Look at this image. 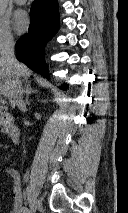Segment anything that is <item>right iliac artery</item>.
Instances as JSON below:
<instances>
[{
	"mask_svg": "<svg viewBox=\"0 0 128 213\" xmlns=\"http://www.w3.org/2000/svg\"><path fill=\"white\" fill-rule=\"evenodd\" d=\"M28 200H30V198L28 197ZM27 211H24V213H26ZM29 213V212H28Z\"/></svg>",
	"mask_w": 128,
	"mask_h": 213,
	"instance_id": "obj_1",
	"label": "right iliac artery"
}]
</instances>
